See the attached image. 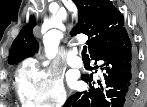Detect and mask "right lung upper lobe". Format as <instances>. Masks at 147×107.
<instances>
[{
	"label": "right lung upper lobe",
	"instance_id": "cb5924a9",
	"mask_svg": "<svg viewBox=\"0 0 147 107\" xmlns=\"http://www.w3.org/2000/svg\"><path fill=\"white\" fill-rule=\"evenodd\" d=\"M78 9L79 22L71 35L86 34L89 53L114 38L124 27V18L109 0H74ZM34 19L25 25L13 41L8 63L18 64L31 57L38 50V42L33 35Z\"/></svg>",
	"mask_w": 147,
	"mask_h": 107
}]
</instances>
